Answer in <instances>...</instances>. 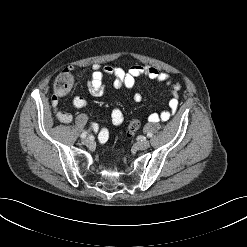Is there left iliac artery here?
I'll use <instances>...</instances> for the list:
<instances>
[{
	"label": "left iliac artery",
	"instance_id": "left-iliac-artery-1",
	"mask_svg": "<svg viewBox=\"0 0 247 247\" xmlns=\"http://www.w3.org/2000/svg\"><path fill=\"white\" fill-rule=\"evenodd\" d=\"M152 135H153V134L150 133V132L147 134V136H148L149 138L152 137Z\"/></svg>",
	"mask_w": 247,
	"mask_h": 247
}]
</instances>
